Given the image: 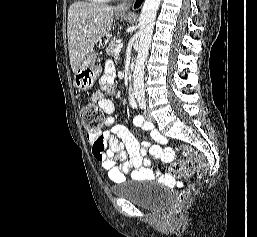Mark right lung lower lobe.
I'll return each instance as SVG.
<instances>
[{
  "instance_id": "right-lung-lower-lobe-1",
  "label": "right lung lower lobe",
  "mask_w": 257,
  "mask_h": 237,
  "mask_svg": "<svg viewBox=\"0 0 257 237\" xmlns=\"http://www.w3.org/2000/svg\"><path fill=\"white\" fill-rule=\"evenodd\" d=\"M141 3H142V0H137V2L135 3V7H139Z\"/></svg>"
}]
</instances>
